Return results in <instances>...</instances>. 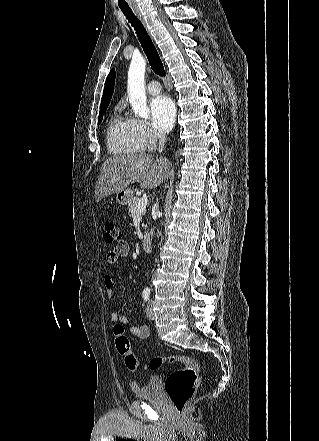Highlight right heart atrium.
<instances>
[{
  "mask_svg": "<svg viewBox=\"0 0 319 441\" xmlns=\"http://www.w3.org/2000/svg\"><path fill=\"white\" fill-rule=\"evenodd\" d=\"M130 120L133 138L140 151L152 150L163 139L147 121L136 118Z\"/></svg>",
  "mask_w": 319,
  "mask_h": 441,
  "instance_id": "1",
  "label": "right heart atrium"
}]
</instances>
